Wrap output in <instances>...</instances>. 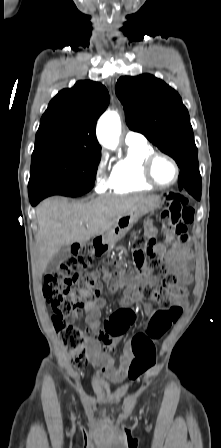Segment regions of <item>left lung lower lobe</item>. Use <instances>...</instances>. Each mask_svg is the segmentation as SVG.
<instances>
[{
    "label": "left lung lower lobe",
    "instance_id": "left-lung-lower-lobe-1",
    "mask_svg": "<svg viewBox=\"0 0 221 448\" xmlns=\"http://www.w3.org/2000/svg\"><path fill=\"white\" fill-rule=\"evenodd\" d=\"M179 189H186L197 200L201 198V176L198 168H187L180 172Z\"/></svg>",
    "mask_w": 221,
    "mask_h": 448
}]
</instances>
